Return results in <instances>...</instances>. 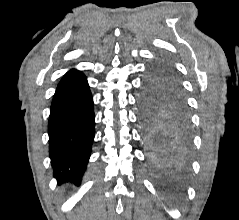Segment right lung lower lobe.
I'll list each match as a JSON object with an SVG mask.
<instances>
[{"instance_id": "98d812e1", "label": "right lung lower lobe", "mask_w": 239, "mask_h": 220, "mask_svg": "<svg viewBox=\"0 0 239 220\" xmlns=\"http://www.w3.org/2000/svg\"><path fill=\"white\" fill-rule=\"evenodd\" d=\"M94 133L93 98L87 78L72 69L58 84L49 117V154L54 177L61 182H80Z\"/></svg>"}]
</instances>
